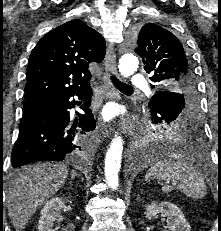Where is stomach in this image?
<instances>
[{"label":"stomach","mask_w":221,"mask_h":231,"mask_svg":"<svg viewBox=\"0 0 221 231\" xmlns=\"http://www.w3.org/2000/svg\"><path fill=\"white\" fill-rule=\"evenodd\" d=\"M176 129H177L176 127H170V128H167L166 130L170 132L171 130H176Z\"/></svg>","instance_id":"obj_1"}]
</instances>
